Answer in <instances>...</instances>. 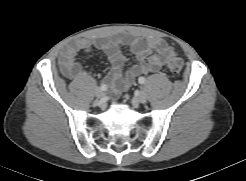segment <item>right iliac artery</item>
Segmentation results:
<instances>
[{
    "mask_svg": "<svg viewBox=\"0 0 246 181\" xmlns=\"http://www.w3.org/2000/svg\"><path fill=\"white\" fill-rule=\"evenodd\" d=\"M100 90H101V91H106V90H107V86H106L105 84H102V85L100 86Z\"/></svg>",
    "mask_w": 246,
    "mask_h": 181,
    "instance_id": "obj_1",
    "label": "right iliac artery"
}]
</instances>
